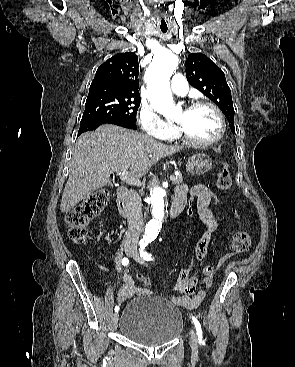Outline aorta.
<instances>
[{
	"mask_svg": "<svg viewBox=\"0 0 295 367\" xmlns=\"http://www.w3.org/2000/svg\"><path fill=\"white\" fill-rule=\"evenodd\" d=\"M178 57L164 51L157 55L146 70L149 100L159 114L173 117L180 108L173 102L169 80L178 66ZM152 219L147 223L143 240L151 242L159 234L165 216V193L159 186H154L150 191Z\"/></svg>",
	"mask_w": 295,
	"mask_h": 367,
	"instance_id": "1",
	"label": "aorta"
}]
</instances>
